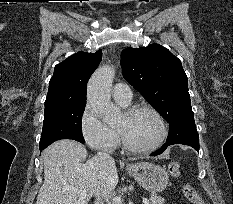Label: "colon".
<instances>
[{
  "mask_svg": "<svg viewBox=\"0 0 233 204\" xmlns=\"http://www.w3.org/2000/svg\"><path fill=\"white\" fill-rule=\"evenodd\" d=\"M168 170L170 174L175 178H179L181 175V167L178 162H171L169 164ZM182 190L186 199L192 204H204V201L202 200L199 193L191 185L184 184Z\"/></svg>",
  "mask_w": 233,
  "mask_h": 204,
  "instance_id": "colon-1",
  "label": "colon"
}]
</instances>
